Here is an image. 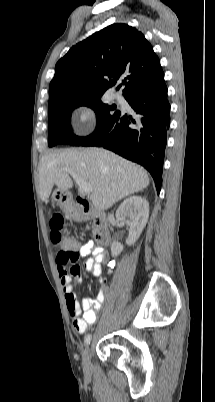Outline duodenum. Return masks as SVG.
I'll return each instance as SVG.
<instances>
[{
	"mask_svg": "<svg viewBox=\"0 0 215 402\" xmlns=\"http://www.w3.org/2000/svg\"><path fill=\"white\" fill-rule=\"evenodd\" d=\"M70 216L76 221L92 220L95 226L97 243L106 246L110 243L111 233L109 223L104 214L95 210L87 200L77 197L68 207Z\"/></svg>",
	"mask_w": 215,
	"mask_h": 402,
	"instance_id": "obj_1",
	"label": "duodenum"
}]
</instances>
